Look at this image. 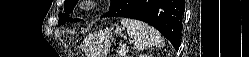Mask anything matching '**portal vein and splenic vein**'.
Masks as SVG:
<instances>
[{"mask_svg":"<svg viewBox=\"0 0 249 57\" xmlns=\"http://www.w3.org/2000/svg\"><path fill=\"white\" fill-rule=\"evenodd\" d=\"M119 54H120L121 56H124V55L126 54L125 45H123V46L121 47V49H120V51H119Z\"/></svg>","mask_w":249,"mask_h":57,"instance_id":"portal-vein-and-splenic-vein-1","label":"portal vein and splenic vein"}]
</instances>
